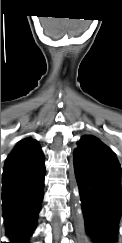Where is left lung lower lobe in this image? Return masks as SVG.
<instances>
[{
    "label": "left lung lower lobe",
    "instance_id": "left-lung-lower-lobe-1",
    "mask_svg": "<svg viewBox=\"0 0 122 243\" xmlns=\"http://www.w3.org/2000/svg\"><path fill=\"white\" fill-rule=\"evenodd\" d=\"M82 243H117L122 217L121 167L108 147L80 156L74 166Z\"/></svg>",
    "mask_w": 122,
    "mask_h": 243
}]
</instances>
